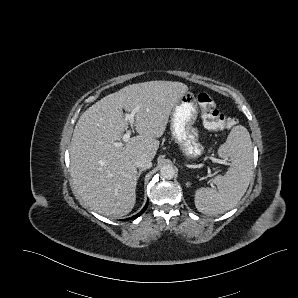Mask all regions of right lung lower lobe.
I'll list each match as a JSON object with an SVG mask.
<instances>
[{
	"label": "right lung lower lobe",
	"instance_id": "1",
	"mask_svg": "<svg viewBox=\"0 0 298 298\" xmlns=\"http://www.w3.org/2000/svg\"><path fill=\"white\" fill-rule=\"evenodd\" d=\"M147 206H148V201H147L145 207H144V208H143L137 215H135V216H133V217H130L129 219H134V218H136V217H139L141 214H143V213L145 212Z\"/></svg>",
	"mask_w": 298,
	"mask_h": 298
}]
</instances>
